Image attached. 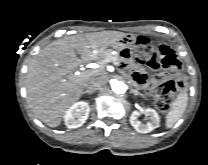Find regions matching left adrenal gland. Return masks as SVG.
Returning <instances> with one entry per match:
<instances>
[{"label":"left adrenal gland","instance_id":"left-adrenal-gland-1","mask_svg":"<svg viewBox=\"0 0 208 165\" xmlns=\"http://www.w3.org/2000/svg\"><path fill=\"white\" fill-rule=\"evenodd\" d=\"M131 93H133L134 95H140V93L135 89H131Z\"/></svg>","mask_w":208,"mask_h":165}]
</instances>
